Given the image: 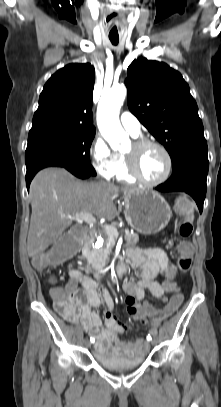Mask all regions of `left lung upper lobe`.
<instances>
[{
  "mask_svg": "<svg viewBox=\"0 0 221 407\" xmlns=\"http://www.w3.org/2000/svg\"><path fill=\"white\" fill-rule=\"evenodd\" d=\"M130 111L169 152L174 166L184 155L206 150L198 107L182 75L163 62L134 60L127 69Z\"/></svg>",
  "mask_w": 221,
  "mask_h": 407,
  "instance_id": "left-lung-upper-lobe-1",
  "label": "left lung upper lobe"
}]
</instances>
